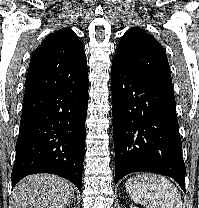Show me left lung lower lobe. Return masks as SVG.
<instances>
[{"mask_svg": "<svg viewBox=\"0 0 199 208\" xmlns=\"http://www.w3.org/2000/svg\"><path fill=\"white\" fill-rule=\"evenodd\" d=\"M111 89L115 184L131 172L148 171L172 177L186 192L172 87L136 75L113 61Z\"/></svg>", "mask_w": 199, "mask_h": 208, "instance_id": "0a47b994", "label": "left lung lower lobe"}]
</instances>
